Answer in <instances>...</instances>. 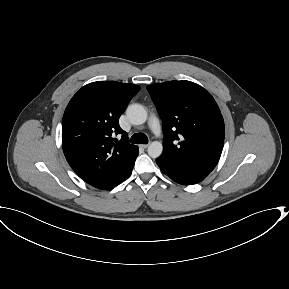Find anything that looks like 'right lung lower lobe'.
<instances>
[{"mask_svg":"<svg viewBox=\"0 0 289 289\" xmlns=\"http://www.w3.org/2000/svg\"><path fill=\"white\" fill-rule=\"evenodd\" d=\"M138 154H139V152L137 153L136 157L138 156ZM136 157H135V159H136ZM135 159L133 160L132 166H131L130 170L128 171L127 175L124 177L123 180H125V179H126L127 177H129V175L131 174L132 168H133L134 163H135ZM123 180H122V181H123Z\"/></svg>","mask_w":289,"mask_h":289,"instance_id":"98d812e1","label":"right lung lower lobe"}]
</instances>
